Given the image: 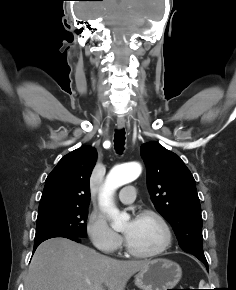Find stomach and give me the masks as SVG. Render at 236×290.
Returning <instances> with one entry per match:
<instances>
[{
    "mask_svg": "<svg viewBox=\"0 0 236 290\" xmlns=\"http://www.w3.org/2000/svg\"><path fill=\"white\" fill-rule=\"evenodd\" d=\"M182 277L181 267L168 259H155L135 275V285L141 290L174 289Z\"/></svg>",
    "mask_w": 236,
    "mask_h": 290,
    "instance_id": "0dacf381",
    "label": "stomach"
}]
</instances>
